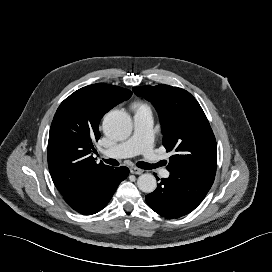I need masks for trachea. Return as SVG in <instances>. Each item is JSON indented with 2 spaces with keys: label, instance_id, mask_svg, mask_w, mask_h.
Wrapping results in <instances>:
<instances>
[{
  "label": "trachea",
  "instance_id": "1",
  "mask_svg": "<svg viewBox=\"0 0 272 272\" xmlns=\"http://www.w3.org/2000/svg\"><path fill=\"white\" fill-rule=\"evenodd\" d=\"M107 164L112 165V166H118L119 162L115 159H103ZM137 167L145 169V170H151L154 169L156 166L153 164H149L143 161L137 162ZM160 165V164H159Z\"/></svg>",
  "mask_w": 272,
  "mask_h": 272
}]
</instances>
